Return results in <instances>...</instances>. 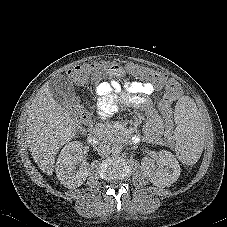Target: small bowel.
<instances>
[{
  "label": "small bowel",
  "mask_w": 227,
  "mask_h": 227,
  "mask_svg": "<svg viewBox=\"0 0 227 227\" xmlns=\"http://www.w3.org/2000/svg\"><path fill=\"white\" fill-rule=\"evenodd\" d=\"M126 93L128 103L132 105H145L146 97L154 94V87L149 82H126L121 85L116 80L103 81L95 88V93L99 97L97 114L101 119L111 117L119 103L117 93ZM162 129V121L158 117H152L145 129V136L149 140L159 137Z\"/></svg>",
  "instance_id": "obj_1"
}]
</instances>
